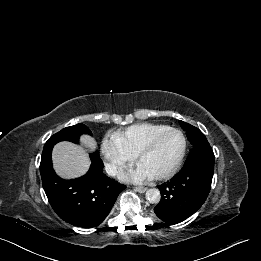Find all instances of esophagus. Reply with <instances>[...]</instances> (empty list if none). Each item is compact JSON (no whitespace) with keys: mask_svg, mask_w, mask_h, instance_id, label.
<instances>
[{"mask_svg":"<svg viewBox=\"0 0 261 261\" xmlns=\"http://www.w3.org/2000/svg\"><path fill=\"white\" fill-rule=\"evenodd\" d=\"M135 190L138 191L139 193H144L147 190V188L146 187H136Z\"/></svg>","mask_w":261,"mask_h":261,"instance_id":"obj_1","label":"esophagus"}]
</instances>
